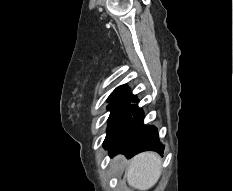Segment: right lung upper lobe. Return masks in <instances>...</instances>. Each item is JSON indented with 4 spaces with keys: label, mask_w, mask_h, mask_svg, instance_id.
<instances>
[{
    "label": "right lung upper lobe",
    "mask_w": 233,
    "mask_h": 191,
    "mask_svg": "<svg viewBox=\"0 0 233 191\" xmlns=\"http://www.w3.org/2000/svg\"><path fill=\"white\" fill-rule=\"evenodd\" d=\"M129 91H130V89L127 86L122 85V86L116 88L111 93L108 100L126 97V95L129 93Z\"/></svg>",
    "instance_id": "1"
}]
</instances>
